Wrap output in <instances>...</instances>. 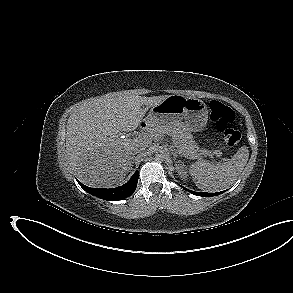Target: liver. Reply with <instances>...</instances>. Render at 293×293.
<instances>
[{"label": "liver", "instance_id": "6515ba94", "mask_svg": "<svg viewBox=\"0 0 293 293\" xmlns=\"http://www.w3.org/2000/svg\"><path fill=\"white\" fill-rule=\"evenodd\" d=\"M167 97L108 93L74 109L66 125V155L81 182L91 187L121 184L132 166L135 145L152 141L148 135L131 139L126 133L141 124L149 107Z\"/></svg>", "mask_w": 293, "mask_h": 293}]
</instances>
